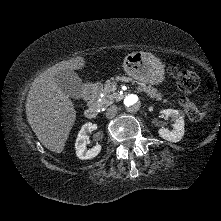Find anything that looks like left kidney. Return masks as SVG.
<instances>
[{
  "mask_svg": "<svg viewBox=\"0 0 221 221\" xmlns=\"http://www.w3.org/2000/svg\"><path fill=\"white\" fill-rule=\"evenodd\" d=\"M166 117H171L173 120V129L169 130L167 128H160L158 133L163 139L171 142H179L184 136V118L183 115L173 109H165L161 111Z\"/></svg>",
  "mask_w": 221,
  "mask_h": 221,
  "instance_id": "5707ae66",
  "label": "left kidney"
}]
</instances>
